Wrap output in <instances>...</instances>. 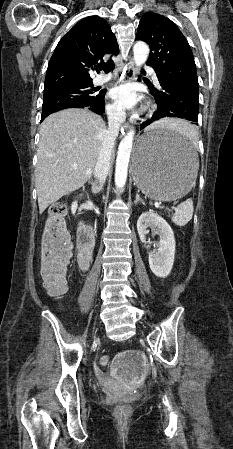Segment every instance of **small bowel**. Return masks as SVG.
I'll use <instances>...</instances> for the list:
<instances>
[{
	"label": "small bowel",
	"mask_w": 233,
	"mask_h": 449,
	"mask_svg": "<svg viewBox=\"0 0 233 449\" xmlns=\"http://www.w3.org/2000/svg\"><path fill=\"white\" fill-rule=\"evenodd\" d=\"M147 361V354H140L139 347H126L125 354L115 355L116 363H108L106 373L108 377H118V383L122 384L115 386L116 394H130L135 389Z\"/></svg>",
	"instance_id": "c3829d8e"
}]
</instances>
